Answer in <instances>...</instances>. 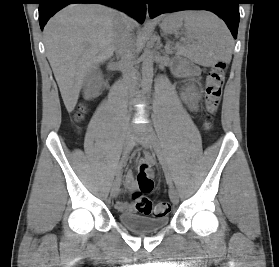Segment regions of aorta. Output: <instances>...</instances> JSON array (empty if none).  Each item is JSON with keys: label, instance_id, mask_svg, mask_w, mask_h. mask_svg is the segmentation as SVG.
I'll return each instance as SVG.
<instances>
[{"label": "aorta", "instance_id": "762f6f07", "mask_svg": "<svg viewBox=\"0 0 279 267\" xmlns=\"http://www.w3.org/2000/svg\"><path fill=\"white\" fill-rule=\"evenodd\" d=\"M153 79V54L146 49L142 56V86L145 92H148Z\"/></svg>", "mask_w": 279, "mask_h": 267}]
</instances>
